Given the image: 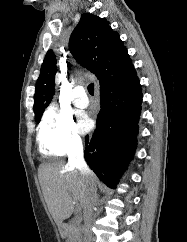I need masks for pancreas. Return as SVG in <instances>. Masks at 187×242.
I'll use <instances>...</instances> for the list:
<instances>
[{"label":"pancreas","mask_w":187,"mask_h":242,"mask_svg":"<svg viewBox=\"0 0 187 242\" xmlns=\"http://www.w3.org/2000/svg\"><path fill=\"white\" fill-rule=\"evenodd\" d=\"M81 236L79 222L72 221L69 225V233L67 242H78Z\"/></svg>","instance_id":"pancreas-1"}]
</instances>
